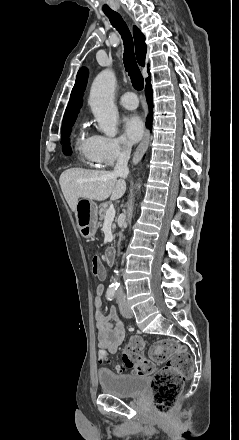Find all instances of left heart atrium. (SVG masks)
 Wrapping results in <instances>:
<instances>
[{
	"instance_id": "left-heart-atrium-1",
	"label": "left heart atrium",
	"mask_w": 239,
	"mask_h": 440,
	"mask_svg": "<svg viewBox=\"0 0 239 440\" xmlns=\"http://www.w3.org/2000/svg\"><path fill=\"white\" fill-rule=\"evenodd\" d=\"M120 128L124 139L128 142L138 141L143 133V124L140 117L132 113L122 118Z\"/></svg>"
}]
</instances>
